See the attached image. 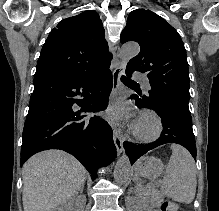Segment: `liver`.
<instances>
[{
	"mask_svg": "<svg viewBox=\"0 0 219 211\" xmlns=\"http://www.w3.org/2000/svg\"><path fill=\"white\" fill-rule=\"evenodd\" d=\"M85 175L82 163L66 151L35 153L22 167L24 211H54L83 187Z\"/></svg>",
	"mask_w": 219,
	"mask_h": 211,
	"instance_id": "liver-1",
	"label": "liver"
}]
</instances>
